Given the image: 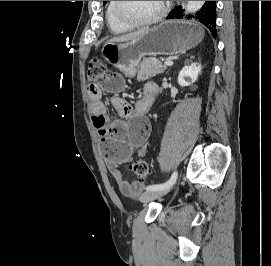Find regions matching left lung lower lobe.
I'll list each match as a JSON object with an SVG mask.
<instances>
[{
  "label": "left lung lower lobe",
  "mask_w": 271,
  "mask_h": 266,
  "mask_svg": "<svg viewBox=\"0 0 271 266\" xmlns=\"http://www.w3.org/2000/svg\"><path fill=\"white\" fill-rule=\"evenodd\" d=\"M195 19L209 29L214 37H216V1H205L202 8L195 15H185L181 6L175 7L167 19Z\"/></svg>",
  "instance_id": "left-lung-lower-lobe-1"
}]
</instances>
